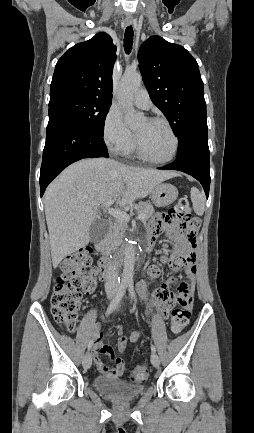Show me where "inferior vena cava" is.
<instances>
[{"label":"inferior vena cava","instance_id":"1","mask_svg":"<svg viewBox=\"0 0 254 433\" xmlns=\"http://www.w3.org/2000/svg\"><path fill=\"white\" fill-rule=\"evenodd\" d=\"M118 287V273H117V265L115 262L111 261L107 265V273H106V290L116 289Z\"/></svg>","mask_w":254,"mask_h":433}]
</instances>
